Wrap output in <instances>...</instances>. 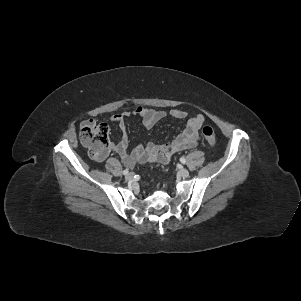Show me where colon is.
<instances>
[{
    "instance_id": "5ec220e1",
    "label": "colon",
    "mask_w": 301,
    "mask_h": 301,
    "mask_svg": "<svg viewBox=\"0 0 301 301\" xmlns=\"http://www.w3.org/2000/svg\"><path fill=\"white\" fill-rule=\"evenodd\" d=\"M202 134L211 147L216 145V136L212 127L204 126ZM80 138L93 159H101L107 155L109 151V127L106 123L94 120L84 122L80 130Z\"/></svg>"
}]
</instances>
